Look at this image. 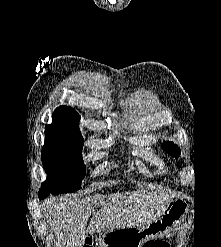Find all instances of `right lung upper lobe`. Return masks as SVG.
Here are the masks:
<instances>
[{"instance_id":"cb5924a9","label":"right lung upper lobe","mask_w":221,"mask_h":247,"mask_svg":"<svg viewBox=\"0 0 221 247\" xmlns=\"http://www.w3.org/2000/svg\"><path fill=\"white\" fill-rule=\"evenodd\" d=\"M52 118H53L52 124L48 125L45 131L82 137L77 121L80 119V116L71 107H67V106L58 107L55 110Z\"/></svg>"}]
</instances>
